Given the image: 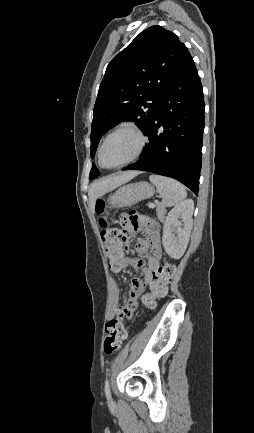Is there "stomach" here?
<instances>
[{"instance_id": "obj_1", "label": "stomach", "mask_w": 254, "mask_h": 433, "mask_svg": "<svg viewBox=\"0 0 254 433\" xmlns=\"http://www.w3.org/2000/svg\"><path fill=\"white\" fill-rule=\"evenodd\" d=\"M154 192V187L148 182L127 184L110 196L109 205L114 208L131 206L143 199L151 198Z\"/></svg>"}]
</instances>
